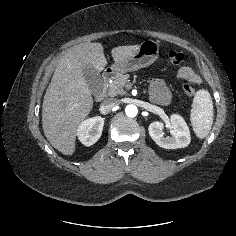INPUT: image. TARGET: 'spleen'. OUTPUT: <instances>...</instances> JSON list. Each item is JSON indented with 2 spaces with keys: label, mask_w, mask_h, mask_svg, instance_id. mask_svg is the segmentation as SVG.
Returning a JSON list of instances; mask_svg holds the SVG:
<instances>
[{
  "label": "spleen",
  "mask_w": 236,
  "mask_h": 236,
  "mask_svg": "<svg viewBox=\"0 0 236 236\" xmlns=\"http://www.w3.org/2000/svg\"><path fill=\"white\" fill-rule=\"evenodd\" d=\"M213 102L210 93L207 90H199L196 92L190 120L196 136L204 139L211 130L213 124Z\"/></svg>",
  "instance_id": "1"
}]
</instances>
